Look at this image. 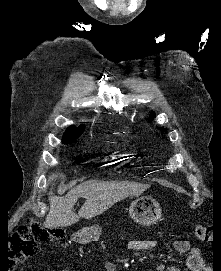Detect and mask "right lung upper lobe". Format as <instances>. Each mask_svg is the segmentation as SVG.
<instances>
[{
  "label": "right lung upper lobe",
  "instance_id": "1",
  "mask_svg": "<svg viewBox=\"0 0 221 271\" xmlns=\"http://www.w3.org/2000/svg\"><path fill=\"white\" fill-rule=\"evenodd\" d=\"M84 131V126H80L76 128L75 126H71L67 129L64 134L63 141H74L76 140Z\"/></svg>",
  "mask_w": 221,
  "mask_h": 271
}]
</instances>
